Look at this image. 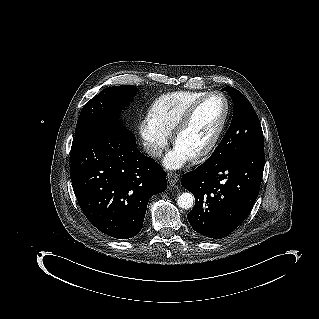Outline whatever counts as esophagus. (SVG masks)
<instances>
[{
    "instance_id": "obj_1",
    "label": "esophagus",
    "mask_w": 319,
    "mask_h": 319,
    "mask_svg": "<svg viewBox=\"0 0 319 319\" xmlns=\"http://www.w3.org/2000/svg\"><path fill=\"white\" fill-rule=\"evenodd\" d=\"M167 181L170 185H175L179 181V175L176 173H168L167 174Z\"/></svg>"
}]
</instances>
